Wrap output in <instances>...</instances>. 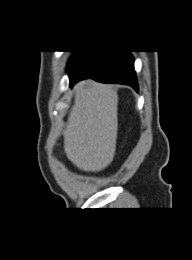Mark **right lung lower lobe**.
Segmentation results:
<instances>
[{
	"mask_svg": "<svg viewBox=\"0 0 192 260\" xmlns=\"http://www.w3.org/2000/svg\"><path fill=\"white\" fill-rule=\"evenodd\" d=\"M70 85L92 78L103 83H120L138 91L134 59L129 51H86L68 68Z\"/></svg>",
	"mask_w": 192,
	"mask_h": 260,
	"instance_id": "obj_1",
	"label": "right lung lower lobe"
}]
</instances>
